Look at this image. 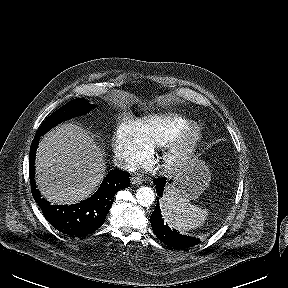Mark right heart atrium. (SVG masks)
I'll return each instance as SVG.
<instances>
[{
  "label": "right heart atrium",
  "mask_w": 288,
  "mask_h": 288,
  "mask_svg": "<svg viewBox=\"0 0 288 288\" xmlns=\"http://www.w3.org/2000/svg\"><path fill=\"white\" fill-rule=\"evenodd\" d=\"M114 152L125 168L133 169L146 164L152 148L143 138L139 125L134 121H125L116 129Z\"/></svg>",
  "instance_id": "right-heart-atrium-1"
}]
</instances>
